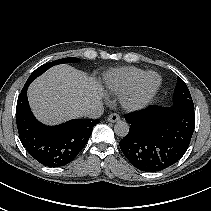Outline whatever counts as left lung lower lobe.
Listing matches in <instances>:
<instances>
[{
  "instance_id": "obj_1",
  "label": "left lung lower lobe",
  "mask_w": 211,
  "mask_h": 211,
  "mask_svg": "<svg viewBox=\"0 0 211 211\" xmlns=\"http://www.w3.org/2000/svg\"><path fill=\"white\" fill-rule=\"evenodd\" d=\"M125 120L130 129L120 148L134 167L145 172L161 171L180 160L195 128L194 109L183 105L151 106L127 114Z\"/></svg>"
}]
</instances>
